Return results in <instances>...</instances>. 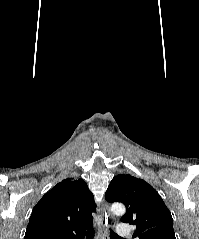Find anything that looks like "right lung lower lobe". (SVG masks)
Returning <instances> with one entry per match:
<instances>
[{"mask_svg":"<svg viewBox=\"0 0 199 239\" xmlns=\"http://www.w3.org/2000/svg\"><path fill=\"white\" fill-rule=\"evenodd\" d=\"M78 239H84V234L81 237H79Z\"/></svg>","mask_w":199,"mask_h":239,"instance_id":"right-lung-lower-lobe-1","label":"right lung lower lobe"}]
</instances>
